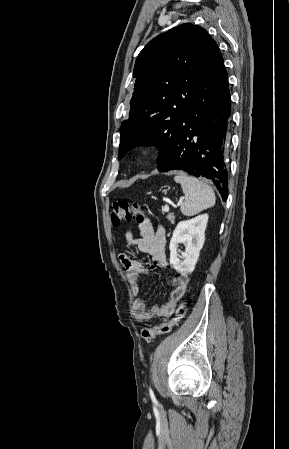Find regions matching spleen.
Returning <instances> with one entry per match:
<instances>
[{"instance_id": "1", "label": "spleen", "mask_w": 289, "mask_h": 449, "mask_svg": "<svg viewBox=\"0 0 289 449\" xmlns=\"http://www.w3.org/2000/svg\"><path fill=\"white\" fill-rule=\"evenodd\" d=\"M174 180L181 185L185 195V201L180 207L183 215H196L215 204L214 191L206 183L185 173H178Z\"/></svg>"}]
</instances>
